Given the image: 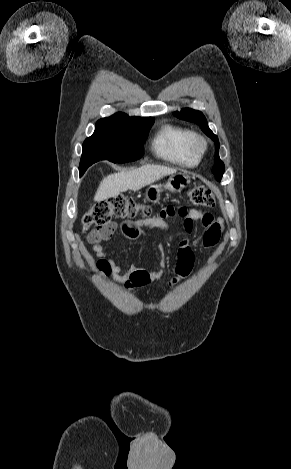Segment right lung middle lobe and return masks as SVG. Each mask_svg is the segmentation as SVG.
<instances>
[{
	"mask_svg": "<svg viewBox=\"0 0 291 469\" xmlns=\"http://www.w3.org/2000/svg\"><path fill=\"white\" fill-rule=\"evenodd\" d=\"M153 123V118L99 120L93 135L83 143L80 176L99 160L125 163L140 159L143 155V142Z\"/></svg>",
	"mask_w": 291,
	"mask_h": 469,
	"instance_id": "1",
	"label": "right lung middle lobe"
}]
</instances>
